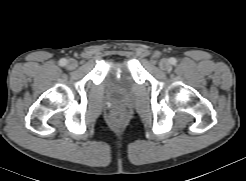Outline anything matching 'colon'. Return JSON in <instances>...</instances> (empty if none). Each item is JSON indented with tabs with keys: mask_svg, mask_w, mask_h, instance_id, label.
Instances as JSON below:
<instances>
[{
	"mask_svg": "<svg viewBox=\"0 0 246 181\" xmlns=\"http://www.w3.org/2000/svg\"><path fill=\"white\" fill-rule=\"evenodd\" d=\"M123 120H124V117L120 113L114 114L112 117V123L116 126L122 124Z\"/></svg>",
	"mask_w": 246,
	"mask_h": 181,
	"instance_id": "colon-1",
	"label": "colon"
}]
</instances>
